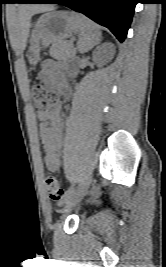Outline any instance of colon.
I'll use <instances>...</instances> for the list:
<instances>
[{
	"label": "colon",
	"instance_id": "colon-1",
	"mask_svg": "<svg viewBox=\"0 0 166 267\" xmlns=\"http://www.w3.org/2000/svg\"><path fill=\"white\" fill-rule=\"evenodd\" d=\"M31 92L34 104L40 111L48 109L58 101L57 93L52 89L46 88L40 83L34 84ZM44 184L50 199L56 203H59L63 196V190L60 187L58 180L52 175H47Z\"/></svg>",
	"mask_w": 166,
	"mask_h": 267
}]
</instances>
